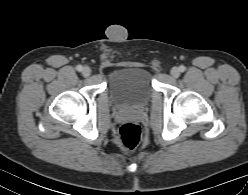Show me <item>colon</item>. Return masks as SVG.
<instances>
[{"mask_svg": "<svg viewBox=\"0 0 248 195\" xmlns=\"http://www.w3.org/2000/svg\"><path fill=\"white\" fill-rule=\"evenodd\" d=\"M119 141L121 145L130 151L135 150L142 139L141 128L133 122L124 123L119 129Z\"/></svg>", "mask_w": 248, "mask_h": 195, "instance_id": "colon-1", "label": "colon"}]
</instances>
